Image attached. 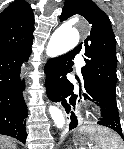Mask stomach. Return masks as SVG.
I'll list each match as a JSON object with an SVG mask.
<instances>
[{
	"instance_id": "0dacf381",
	"label": "stomach",
	"mask_w": 124,
	"mask_h": 149,
	"mask_svg": "<svg viewBox=\"0 0 124 149\" xmlns=\"http://www.w3.org/2000/svg\"><path fill=\"white\" fill-rule=\"evenodd\" d=\"M97 135H106L109 137H114L116 136L112 131H110L109 129H105V128H95V127H80L76 133L74 134V142L81 145V146H85V145H99V143L96 141V136ZM92 149H97L95 146Z\"/></svg>"
}]
</instances>
